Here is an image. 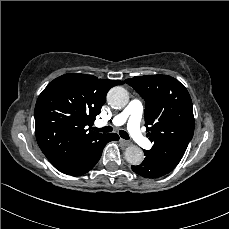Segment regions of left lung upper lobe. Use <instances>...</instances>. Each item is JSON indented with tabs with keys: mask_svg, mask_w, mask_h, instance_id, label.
Returning a JSON list of instances; mask_svg holds the SVG:
<instances>
[{
	"mask_svg": "<svg viewBox=\"0 0 229 229\" xmlns=\"http://www.w3.org/2000/svg\"><path fill=\"white\" fill-rule=\"evenodd\" d=\"M145 100V126L153 147L145 150L160 169L171 172L194 134L193 105L186 87L168 75L126 79Z\"/></svg>",
	"mask_w": 229,
	"mask_h": 229,
	"instance_id": "left-lung-upper-lobe-1",
	"label": "left lung upper lobe"
}]
</instances>
